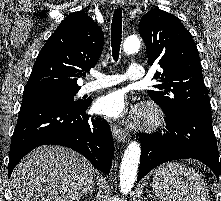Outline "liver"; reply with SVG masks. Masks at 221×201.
<instances>
[{
    "label": "liver",
    "mask_w": 221,
    "mask_h": 201,
    "mask_svg": "<svg viewBox=\"0 0 221 201\" xmlns=\"http://www.w3.org/2000/svg\"><path fill=\"white\" fill-rule=\"evenodd\" d=\"M94 167L77 152L40 146L11 175L14 201H75L93 185Z\"/></svg>",
    "instance_id": "obj_1"
}]
</instances>
